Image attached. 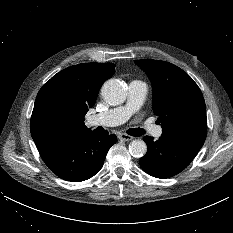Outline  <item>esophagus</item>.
I'll use <instances>...</instances> for the list:
<instances>
[{
	"mask_svg": "<svg viewBox=\"0 0 233 233\" xmlns=\"http://www.w3.org/2000/svg\"><path fill=\"white\" fill-rule=\"evenodd\" d=\"M118 138L122 141H131L134 139V137L124 134V133L119 134Z\"/></svg>",
	"mask_w": 233,
	"mask_h": 233,
	"instance_id": "34e87169",
	"label": "esophagus"
}]
</instances>
